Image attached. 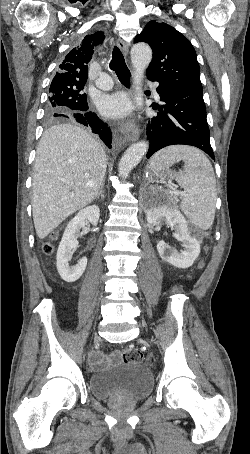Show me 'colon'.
<instances>
[{"label": "colon", "mask_w": 250, "mask_h": 454, "mask_svg": "<svg viewBox=\"0 0 250 454\" xmlns=\"http://www.w3.org/2000/svg\"><path fill=\"white\" fill-rule=\"evenodd\" d=\"M43 251L45 254L50 255L53 252V246L51 243H45L43 246ZM203 264L201 263L200 266ZM120 355L124 362H135L139 363L142 361V353L134 347H126L120 351Z\"/></svg>", "instance_id": "obj_1"}]
</instances>
